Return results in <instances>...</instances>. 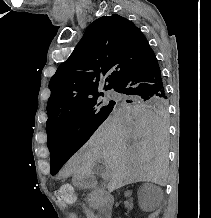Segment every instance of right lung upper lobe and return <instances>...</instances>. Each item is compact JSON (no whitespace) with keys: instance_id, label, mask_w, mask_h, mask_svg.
<instances>
[{"instance_id":"cb5924a9","label":"right lung upper lobe","mask_w":211,"mask_h":218,"mask_svg":"<svg viewBox=\"0 0 211 218\" xmlns=\"http://www.w3.org/2000/svg\"><path fill=\"white\" fill-rule=\"evenodd\" d=\"M151 50L142 32L128 19L113 14L95 20L50 80L46 129L64 114L102 94L98 88L105 75L109 83L104 88L111 89Z\"/></svg>"}]
</instances>
